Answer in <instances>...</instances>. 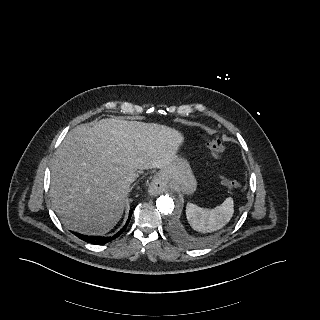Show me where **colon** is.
I'll use <instances>...</instances> for the list:
<instances>
[{
  "instance_id": "obj_1",
  "label": "colon",
  "mask_w": 320,
  "mask_h": 320,
  "mask_svg": "<svg viewBox=\"0 0 320 320\" xmlns=\"http://www.w3.org/2000/svg\"><path fill=\"white\" fill-rule=\"evenodd\" d=\"M209 147L216 156H221L223 153V146L218 137L212 138L209 141ZM220 180L222 185L229 189L237 188L239 186V183L236 180L225 175H221Z\"/></svg>"
}]
</instances>
